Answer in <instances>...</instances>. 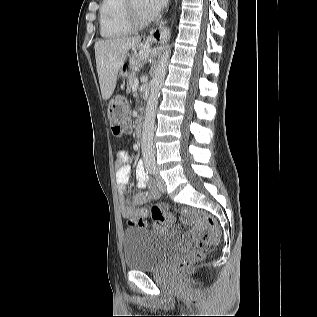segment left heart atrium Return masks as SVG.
Wrapping results in <instances>:
<instances>
[{
    "mask_svg": "<svg viewBox=\"0 0 317 317\" xmlns=\"http://www.w3.org/2000/svg\"><path fill=\"white\" fill-rule=\"evenodd\" d=\"M167 0H144V9L147 17L155 18L166 5Z\"/></svg>",
    "mask_w": 317,
    "mask_h": 317,
    "instance_id": "1",
    "label": "left heart atrium"
}]
</instances>
